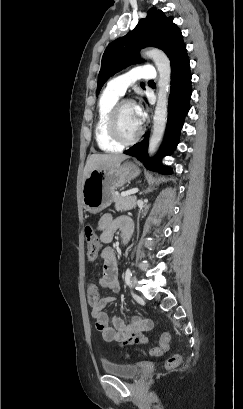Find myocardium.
Returning <instances> with one entry per match:
<instances>
[{"instance_id": "1", "label": "myocardium", "mask_w": 243, "mask_h": 409, "mask_svg": "<svg viewBox=\"0 0 243 409\" xmlns=\"http://www.w3.org/2000/svg\"><path fill=\"white\" fill-rule=\"evenodd\" d=\"M134 105V102L128 99L119 100L115 106L112 108L108 117V132L110 137L121 146L134 144L139 140L143 134V127L140 126L138 132L131 138H126L123 136L119 127V114L124 106Z\"/></svg>"}]
</instances>
